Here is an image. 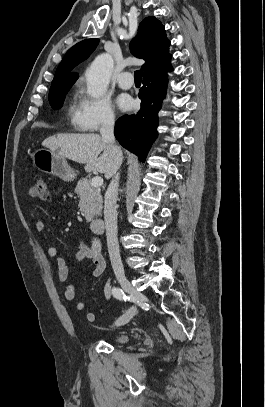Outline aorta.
I'll return each mask as SVG.
<instances>
[{"mask_svg": "<svg viewBox=\"0 0 265 407\" xmlns=\"http://www.w3.org/2000/svg\"><path fill=\"white\" fill-rule=\"evenodd\" d=\"M114 66L111 55L104 53L95 58L85 72L87 93L92 98L101 97L109 84Z\"/></svg>", "mask_w": 265, "mask_h": 407, "instance_id": "aorta-1", "label": "aorta"}]
</instances>
